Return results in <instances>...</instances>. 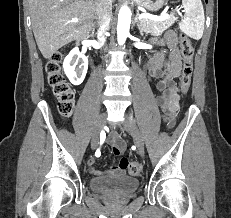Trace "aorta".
Returning a JSON list of instances; mask_svg holds the SVG:
<instances>
[{
  "label": "aorta",
  "mask_w": 231,
  "mask_h": 218,
  "mask_svg": "<svg viewBox=\"0 0 231 218\" xmlns=\"http://www.w3.org/2000/svg\"><path fill=\"white\" fill-rule=\"evenodd\" d=\"M131 24V12L126 6L122 7L118 14L117 40L119 45H123L129 35Z\"/></svg>",
  "instance_id": "obj_1"
}]
</instances>
